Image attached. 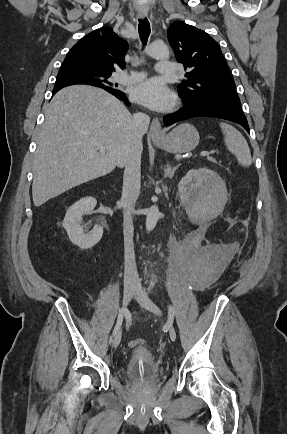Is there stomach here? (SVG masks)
<instances>
[{
    "label": "stomach",
    "instance_id": "0dacf381",
    "mask_svg": "<svg viewBox=\"0 0 287 434\" xmlns=\"http://www.w3.org/2000/svg\"><path fill=\"white\" fill-rule=\"evenodd\" d=\"M199 133L188 123H182L161 139L153 143L169 153H187L195 149L199 143Z\"/></svg>",
    "mask_w": 287,
    "mask_h": 434
}]
</instances>
